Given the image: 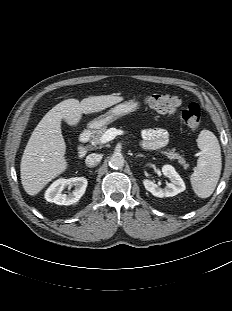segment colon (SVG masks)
<instances>
[{
  "label": "colon",
  "instance_id": "colon-1",
  "mask_svg": "<svg viewBox=\"0 0 232 311\" xmlns=\"http://www.w3.org/2000/svg\"><path fill=\"white\" fill-rule=\"evenodd\" d=\"M144 103L161 113H174L181 109L182 121L192 130L200 124L201 111L197 103H189L182 107L181 100L165 93H154L144 97Z\"/></svg>",
  "mask_w": 232,
  "mask_h": 311
}]
</instances>
